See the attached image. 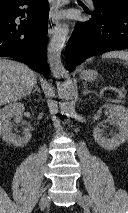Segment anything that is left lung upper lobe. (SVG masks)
I'll use <instances>...</instances> for the list:
<instances>
[{"label": "left lung upper lobe", "mask_w": 128, "mask_h": 213, "mask_svg": "<svg viewBox=\"0 0 128 213\" xmlns=\"http://www.w3.org/2000/svg\"><path fill=\"white\" fill-rule=\"evenodd\" d=\"M99 3H105V2H111V1H122V2H128V0H94Z\"/></svg>", "instance_id": "5c2ea615"}]
</instances>
